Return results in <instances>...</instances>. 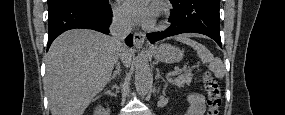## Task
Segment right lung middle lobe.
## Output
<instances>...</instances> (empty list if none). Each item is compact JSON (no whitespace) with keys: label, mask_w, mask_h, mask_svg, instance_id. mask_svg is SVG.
Returning <instances> with one entry per match:
<instances>
[{"label":"right lung middle lobe","mask_w":285,"mask_h":115,"mask_svg":"<svg viewBox=\"0 0 285 115\" xmlns=\"http://www.w3.org/2000/svg\"><path fill=\"white\" fill-rule=\"evenodd\" d=\"M66 2H81L92 6H105L108 0H48V9Z\"/></svg>","instance_id":"dd1d6c3e"}]
</instances>
